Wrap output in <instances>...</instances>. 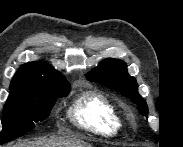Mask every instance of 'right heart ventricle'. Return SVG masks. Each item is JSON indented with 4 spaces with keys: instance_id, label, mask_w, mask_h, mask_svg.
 I'll return each instance as SVG.
<instances>
[{
    "instance_id": "right-heart-ventricle-1",
    "label": "right heart ventricle",
    "mask_w": 183,
    "mask_h": 147,
    "mask_svg": "<svg viewBox=\"0 0 183 147\" xmlns=\"http://www.w3.org/2000/svg\"><path fill=\"white\" fill-rule=\"evenodd\" d=\"M71 121L88 132L114 136L123 126L116 106L99 92H85L79 96L68 111Z\"/></svg>"
}]
</instances>
